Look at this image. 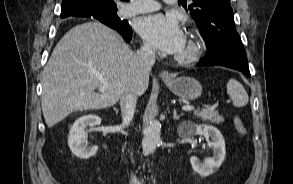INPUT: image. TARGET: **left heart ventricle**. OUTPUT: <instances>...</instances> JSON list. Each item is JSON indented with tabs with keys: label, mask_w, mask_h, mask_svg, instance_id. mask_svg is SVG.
<instances>
[{
	"label": "left heart ventricle",
	"mask_w": 293,
	"mask_h": 184,
	"mask_svg": "<svg viewBox=\"0 0 293 184\" xmlns=\"http://www.w3.org/2000/svg\"><path fill=\"white\" fill-rule=\"evenodd\" d=\"M190 48H191L190 40L186 36L182 47L180 48V50L176 54H178V55L186 54L187 52H189Z\"/></svg>",
	"instance_id": "left-heart-ventricle-1"
}]
</instances>
